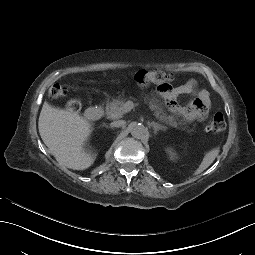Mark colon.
Returning a JSON list of instances; mask_svg holds the SVG:
<instances>
[{
    "label": "colon",
    "instance_id": "obj_1",
    "mask_svg": "<svg viewBox=\"0 0 255 255\" xmlns=\"http://www.w3.org/2000/svg\"><path fill=\"white\" fill-rule=\"evenodd\" d=\"M135 81L137 84L145 86L155 84L160 90H167L170 82L173 80V75L159 70H139L135 73ZM66 90L60 84H54L49 89L51 98H60L65 96ZM81 102L77 99H70L67 102V108L72 112H78L81 109ZM226 127L224 115L221 112L215 113L206 125V130L209 132H220Z\"/></svg>",
    "mask_w": 255,
    "mask_h": 255
}]
</instances>
